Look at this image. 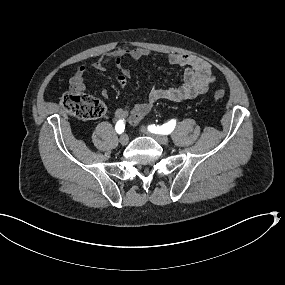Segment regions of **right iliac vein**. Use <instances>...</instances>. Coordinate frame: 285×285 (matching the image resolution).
I'll return each instance as SVG.
<instances>
[{
	"mask_svg": "<svg viewBox=\"0 0 285 285\" xmlns=\"http://www.w3.org/2000/svg\"><path fill=\"white\" fill-rule=\"evenodd\" d=\"M128 142H129V138H128V136L126 135V134H124V135H122L121 137H120V143H121V145H127L128 144Z\"/></svg>",
	"mask_w": 285,
	"mask_h": 285,
	"instance_id": "63e3f726",
	"label": "right iliac vein"
}]
</instances>
